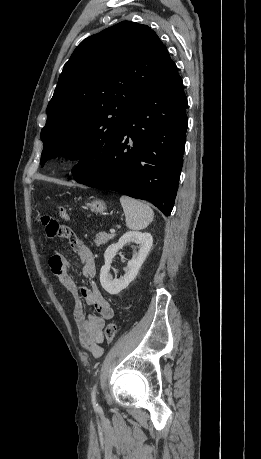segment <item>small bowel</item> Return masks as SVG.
<instances>
[{
	"mask_svg": "<svg viewBox=\"0 0 261 459\" xmlns=\"http://www.w3.org/2000/svg\"><path fill=\"white\" fill-rule=\"evenodd\" d=\"M45 233L48 238L59 237L70 241L79 256L83 275L91 281L90 286L79 287L72 276L74 265L58 252H53L50 256L48 265L51 272L73 297V317L80 344L91 356L99 358L103 354V328L105 322L113 318L114 311L92 281L96 274L95 257L79 236L67 226L57 224L53 230L45 226ZM84 304L93 307L95 313L86 314Z\"/></svg>",
	"mask_w": 261,
	"mask_h": 459,
	"instance_id": "small-bowel-1",
	"label": "small bowel"
}]
</instances>
